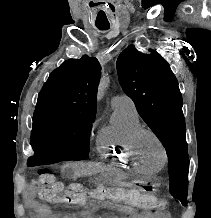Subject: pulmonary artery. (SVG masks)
<instances>
[{
    "mask_svg": "<svg viewBox=\"0 0 211 218\" xmlns=\"http://www.w3.org/2000/svg\"><path fill=\"white\" fill-rule=\"evenodd\" d=\"M111 105L113 108L128 107L136 109L133 100L127 94H119L114 96L112 98Z\"/></svg>",
    "mask_w": 211,
    "mask_h": 218,
    "instance_id": "e3ab8cb5",
    "label": "pulmonary artery"
}]
</instances>
